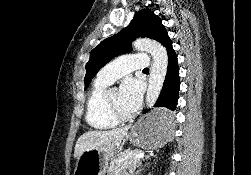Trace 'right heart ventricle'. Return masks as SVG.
<instances>
[{
	"mask_svg": "<svg viewBox=\"0 0 251 175\" xmlns=\"http://www.w3.org/2000/svg\"><path fill=\"white\" fill-rule=\"evenodd\" d=\"M108 85V83L96 79L87 96L85 119L87 124L95 130H107L117 123V120L108 114L104 105Z\"/></svg>",
	"mask_w": 251,
	"mask_h": 175,
	"instance_id": "1",
	"label": "right heart ventricle"
}]
</instances>
